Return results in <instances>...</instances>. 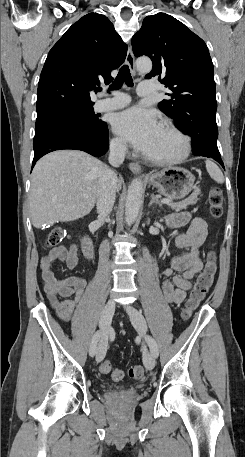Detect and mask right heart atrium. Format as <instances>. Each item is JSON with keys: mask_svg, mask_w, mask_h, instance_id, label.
Segmentation results:
<instances>
[{"mask_svg": "<svg viewBox=\"0 0 245 457\" xmlns=\"http://www.w3.org/2000/svg\"><path fill=\"white\" fill-rule=\"evenodd\" d=\"M112 147L116 152H124L126 150L125 143L119 138L112 140Z\"/></svg>", "mask_w": 245, "mask_h": 457, "instance_id": "right-heart-atrium-1", "label": "right heart atrium"}]
</instances>
